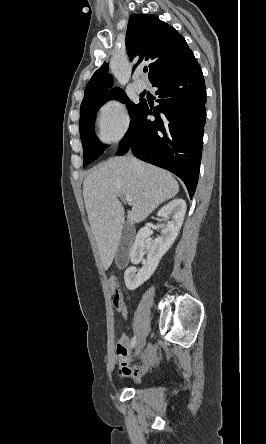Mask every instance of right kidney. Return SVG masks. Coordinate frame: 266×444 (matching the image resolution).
I'll return each mask as SVG.
<instances>
[{
	"label": "right kidney",
	"instance_id": "right-kidney-1",
	"mask_svg": "<svg viewBox=\"0 0 266 444\" xmlns=\"http://www.w3.org/2000/svg\"><path fill=\"white\" fill-rule=\"evenodd\" d=\"M186 208L187 206L183 199H174L159 210L157 215L164 219H170V221L161 225V236H158L153 241L147 255V260L143 263V267L138 272L134 266L126 269L124 281L129 290H135L141 286L155 272L162 256L172 246L181 229ZM151 234L152 231L148 227H143L137 233L130 252L132 264H139L143 260L148 245V238Z\"/></svg>",
	"mask_w": 266,
	"mask_h": 444
}]
</instances>
